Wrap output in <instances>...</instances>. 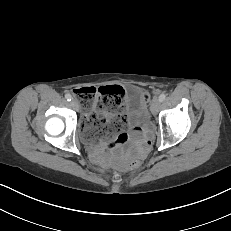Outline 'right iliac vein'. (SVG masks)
Wrapping results in <instances>:
<instances>
[{
  "label": "right iliac vein",
  "mask_w": 231,
  "mask_h": 231,
  "mask_svg": "<svg viewBox=\"0 0 231 231\" xmlns=\"http://www.w3.org/2000/svg\"><path fill=\"white\" fill-rule=\"evenodd\" d=\"M70 104L75 110L79 109V103L76 100L73 99Z\"/></svg>",
  "instance_id": "1"
}]
</instances>
